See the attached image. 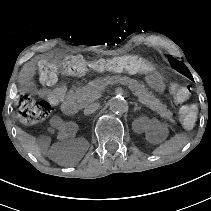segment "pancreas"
<instances>
[{
  "label": "pancreas",
  "mask_w": 211,
  "mask_h": 211,
  "mask_svg": "<svg viewBox=\"0 0 211 211\" xmlns=\"http://www.w3.org/2000/svg\"><path fill=\"white\" fill-rule=\"evenodd\" d=\"M118 78L123 85L128 86L131 91L135 92L138 100L143 105L149 107L152 111L157 112L160 117L168 120L170 123L177 124V122L173 119V113L166 105L161 104L158 99L148 92L144 85L127 76H118ZM104 89L105 86L100 81H96L93 84L90 83L82 88L76 89L74 90L75 97L71 99L70 104L73 108L78 109L82 106V104L94 102L97 100L98 94L102 93Z\"/></svg>",
  "instance_id": "pancreas-1"
}]
</instances>
